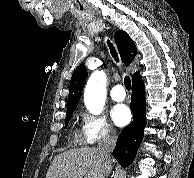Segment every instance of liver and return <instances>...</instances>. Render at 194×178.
Returning a JSON list of instances; mask_svg holds the SVG:
<instances>
[{
	"mask_svg": "<svg viewBox=\"0 0 194 178\" xmlns=\"http://www.w3.org/2000/svg\"><path fill=\"white\" fill-rule=\"evenodd\" d=\"M112 168L98 149L83 147L71 149L57 155L52 161L46 178H106Z\"/></svg>",
	"mask_w": 194,
	"mask_h": 178,
	"instance_id": "obj_1",
	"label": "liver"
}]
</instances>
